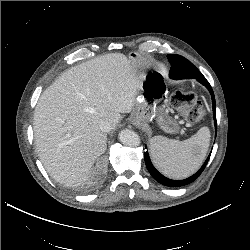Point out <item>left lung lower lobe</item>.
Instances as JSON below:
<instances>
[{"label": "left lung lower lobe", "mask_w": 250, "mask_h": 250, "mask_svg": "<svg viewBox=\"0 0 250 250\" xmlns=\"http://www.w3.org/2000/svg\"><path fill=\"white\" fill-rule=\"evenodd\" d=\"M168 60L171 63V69L169 72L170 78L172 79H192L193 78L199 81L209 90L211 97H212V103H213V116H214V121H215V127L217 128L215 97H214V93L209 82L204 78V76L199 72V70L186 58L174 54V55L168 56ZM209 158H210V155L208 156V158L206 159L202 167L191 177L184 179V180H172L163 176L160 172H158L155 169L147 151L144 154V160H145L147 169L149 173L151 174V176L160 184L164 186H168V187L185 186L195 181L200 176L202 171L205 169Z\"/></svg>", "instance_id": "obj_1"}]
</instances>
